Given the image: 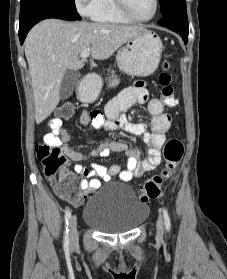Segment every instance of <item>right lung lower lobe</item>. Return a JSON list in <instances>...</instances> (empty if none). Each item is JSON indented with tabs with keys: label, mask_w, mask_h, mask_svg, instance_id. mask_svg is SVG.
<instances>
[{
	"label": "right lung lower lobe",
	"mask_w": 227,
	"mask_h": 279,
	"mask_svg": "<svg viewBox=\"0 0 227 279\" xmlns=\"http://www.w3.org/2000/svg\"><path fill=\"white\" fill-rule=\"evenodd\" d=\"M47 18L80 20L76 10L57 0H32L20 8L19 39L23 44L28 31L39 21Z\"/></svg>",
	"instance_id": "98d812e1"
}]
</instances>
